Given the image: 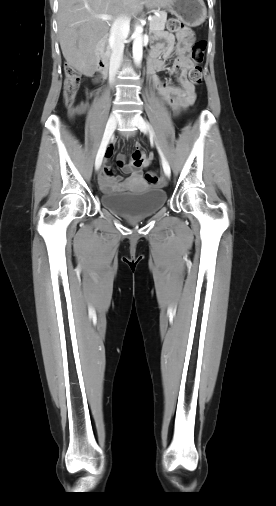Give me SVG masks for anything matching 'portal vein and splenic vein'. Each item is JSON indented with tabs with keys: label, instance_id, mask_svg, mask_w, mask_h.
<instances>
[{
	"label": "portal vein and splenic vein",
	"instance_id": "portal-vein-and-splenic-vein-1",
	"mask_svg": "<svg viewBox=\"0 0 276 506\" xmlns=\"http://www.w3.org/2000/svg\"><path fill=\"white\" fill-rule=\"evenodd\" d=\"M97 18L102 19V20H106V21L112 20V17L109 15H98ZM148 20L152 21V17H149Z\"/></svg>",
	"mask_w": 276,
	"mask_h": 506
}]
</instances>
